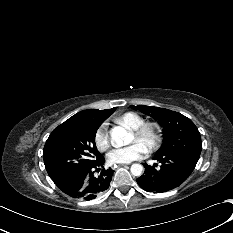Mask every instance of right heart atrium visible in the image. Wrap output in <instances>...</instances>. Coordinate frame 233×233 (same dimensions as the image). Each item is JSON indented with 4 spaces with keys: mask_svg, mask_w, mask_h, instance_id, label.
I'll use <instances>...</instances> for the list:
<instances>
[{
    "mask_svg": "<svg viewBox=\"0 0 233 233\" xmlns=\"http://www.w3.org/2000/svg\"><path fill=\"white\" fill-rule=\"evenodd\" d=\"M94 142L98 150L106 151L110 147V140L104 125L100 126L94 134Z\"/></svg>",
    "mask_w": 233,
    "mask_h": 233,
    "instance_id": "obj_1",
    "label": "right heart atrium"
}]
</instances>
